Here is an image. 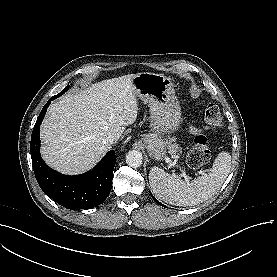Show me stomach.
Instances as JSON below:
<instances>
[{
    "instance_id": "0dacf381",
    "label": "stomach",
    "mask_w": 277,
    "mask_h": 277,
    "mask_svg": "<svg viewBox=\"0 0 277 277\" xmlns=\"http://www.w3.org/2000/svg\"><path fill=\"white\" fill-rule=\"evenodd\" d=\"M132 82L136 96L147 103L150 110L153 131L143 136V143L151 158L161 161L168 149L164 135L174 133L181 124L174 85L169 77L151 72L136 74Z\"/></svg>"
}]
</instances>
